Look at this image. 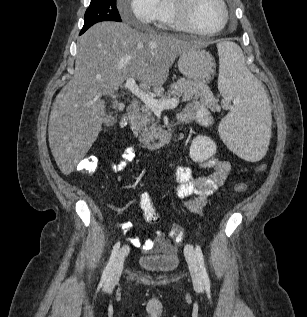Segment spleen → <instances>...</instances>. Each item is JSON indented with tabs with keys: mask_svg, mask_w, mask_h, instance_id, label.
<instances>
[{
	"mask_svg": "<svg viewBox=\"0 0 307 317\" xmlns=\"http://www.w3.org/2000/svg\"><path fill=\"white\" fill-rule=\"evenodd\" d=\"M219 52L218 88L234 101V108L219 125L222 140L241 160H260L270 155L271 113L265 86H260L245 64L240 47L233 40H216Z\"/></svg>",
	"mask_w": 307,
	"mask_h": 317,
	"instance_id": "1",
	"label": "spleen"
}]
</instances>
